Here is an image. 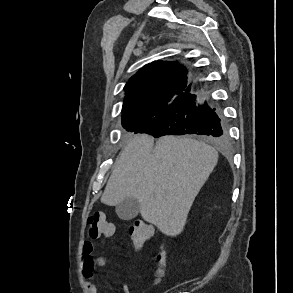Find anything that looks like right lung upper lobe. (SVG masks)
Returning <instances> with one entry per match:
<instances>
[{"instance_id": "cb5924a9", "label": "right lung upper lobe", "mask_w": 293, "mask_h": 293, "mask_svg": "<svg viewBox=\"0 0 293 293\" xmlns=\"http://www.w3.org/2000/svg\"><path fill=\"white\" fill-rule=\"evenodd\" d=\"M187 71L177 62L145 65L125 86L123 113L149 108L156 117L187 87Z\"/></svg>"}]
</instances>
